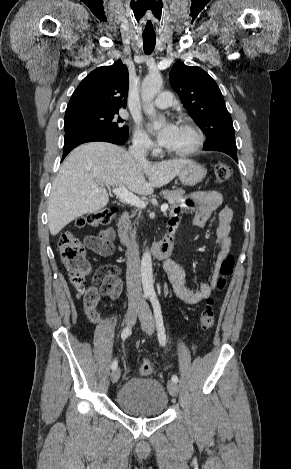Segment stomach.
Returning a JSON list of instances; mask_svg holds the SVG:
<instances>
[{"instance_id": "1", "label": "stomach", "mask_w": 291, "mask_h": 469, "mask_svg": "<svg viewBox=\"0 0 291 469\" xmlns=\"http://www.w3.org/2000/svg\"><path fill=\"white\" fill-rule=\"evenodd\" d=\"M206 169L194 162L186 164L178 173L179 180L186 186H193L201 182L206 176Z\"/></svg>"}]
</instances>
